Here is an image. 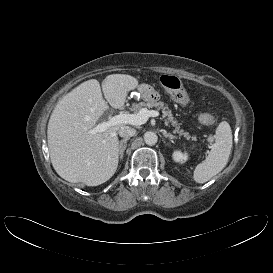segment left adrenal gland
Instances as JSON below:
<instances>
[{
	"label": "left adrenal gland",
	"instance_id": "1",
	"mask_svg": "<svg viewBox=\"0 0 273 273\" xmlns=\"http://www.w3.org/2000/svg\"><path fill=\"white\" fill-rule=\"evenodd\" d=\"M163 135L165 138H171V139H176L177 137L172 135L171 133H167L165 130L163 131Z\"/></svg>",
	"mask_w": 273,
	"mask_h": 273
}]
</instances>
